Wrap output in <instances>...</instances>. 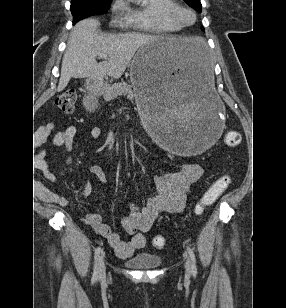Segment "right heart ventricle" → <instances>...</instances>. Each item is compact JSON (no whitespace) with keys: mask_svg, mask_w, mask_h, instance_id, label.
Returning <instances> with one entry per match:
<instances>
[{"mask_svg":"<svg viewBox=\"0 0 286 308\" xmlns=\"http://www.w3.org/2000/svg\"><path fill=\"white\" fill-rule=\"evenodd\" d=\"M175 3V0H148L145 5L128 8L126 22L132 29L146 33L179 32L182 26L166 14Z\"/></svg>","mask_w":286,"mask_h":308,"instance_id":"right-heart-ventricle-1","label":"right heart ventricle"}]
</instances>
